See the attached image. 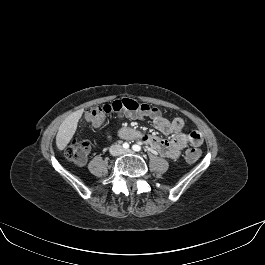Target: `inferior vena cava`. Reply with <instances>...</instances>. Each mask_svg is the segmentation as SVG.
<instances>
[{
	"label": "inferior vena cava",
	"mask_w": 265,
	"mask_h": 265,
	"mask_svg": "<svg viewBox=\"0 0 265 265\" xmlns=\"http://www.w3.org/2000/svg\"><path fill=\"white\" fill-rule=\"evenodd\" d=\"M109 151L113 156L121 155L124 153V149L120 145H112Z\"/></svg>",
	"instance_id": "inferior-vena-cava-1"
}]
</instances>
